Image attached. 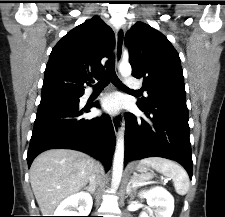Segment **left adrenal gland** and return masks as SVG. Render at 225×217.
<instances>
[{
    "mask_svg": "<svg viewBox=\"0 0 225 217\" xmlns=\"http://www.w3.org/2000/svg\"><path fill=\"white\" fill-rule=\"evenodd\" d=\"M135 190L134 187L131 186V182H129L127 184L126 187V194L130 195L131 199H133L134 197L132 196V191Z\"/></svg>",
    "mask_w": 225,
    "mask_h": 217,
    "instance_id": "left-adrenal-gland-1",
    "label": "left adrenal gland"
}]
</instances>
